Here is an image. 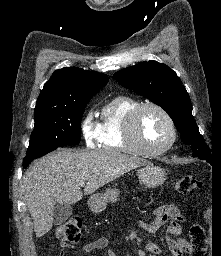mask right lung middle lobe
Masks as SVG:
<instances>
[{
	"instance_id": "obj_1",
	"label": "right lung middle lobe",
	"mask_w": 221,
	"mask_h": 256,
	"mask_svg": "<svg viewBox=\"0 0 221 256\" xmlns=\"http://www.w3.org/2000/svg\"><path fill=\"white\" fill-rule=\"evenodd\" d=\"M89 99L75 107L40 110L34 112L35 127L32 131L23 167L58 147L77 145L81 137V118Z\"/></svg>"
}]
</instances>
